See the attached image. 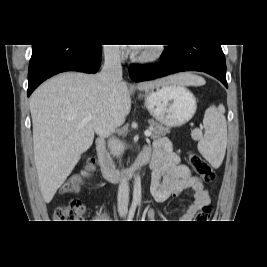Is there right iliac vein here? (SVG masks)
Wrapping results in <instances>:
<instances>
[{"label": "right iliac vein", "mask_w": 267, "mask_h": 267, "mask_svg": "<svg viewBox=\"0 0 267 267\" xmlns=\"http://www.w3.org/2000/svg\"><path fill=\"white\" fill-rule=\"evenodd\" d=\"M121 215L124 216L125 215V212H122Z\"/></svg>", "instance_id": "obj_1"}]
</instances>
